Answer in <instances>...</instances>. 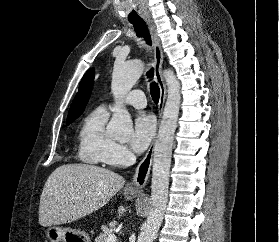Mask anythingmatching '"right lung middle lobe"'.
I'll use <instances>...</instances> for the list:
<instances>
[{
	"label": "right lung middle lobe",
	"instance_id": "obj_1",
	"mask_svg": "<svg viewBox=\"0 0 279 242\" xmlns=\"http://www.w3.org/2000/svg\"><path fill=\"white\" fill-rule=\"evenodd\" d=\"M71 122H73V121H69V122H67V125H69Z\"/></svg>",
	"mask_w": 279,
	"mask_h": 242
}]
</instances>
